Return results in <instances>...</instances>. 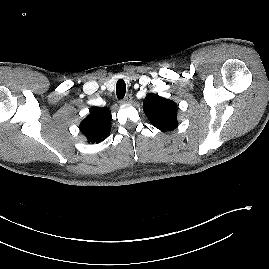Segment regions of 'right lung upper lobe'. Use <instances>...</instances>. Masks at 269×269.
<instances>
[{
  "label": "right lung upper lobe",
  "instance_id": "right-lung-upper-lobe-1",
  "mask_svg": "<svg viewBox=\"0 0 269 269\" xmlns=\"http://www.w3.org/2000/svg\"><path fill=\"white\" fill-rule=\"evenodd\" d=\"M80 131L89 143L103 141L111 131V112L108 108L93 107L90 114L80 123Z\"/></svg>",
  "mask_w": 269,
  "mask_h": 269
}]
</instances>
